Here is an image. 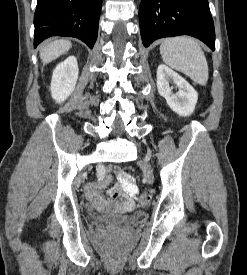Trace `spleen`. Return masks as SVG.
<instances>
[{
	"mask_svg": "<svg viewBox=\"0 0 247 275\" xmlns=\"http://www.w3.org/2000/svg\"><path fill=\"white\" fill-rule=\"evenodd\" d=\"M160 54L168 66L184 73L197 84L206 85L208 64L197 41L185 36L165 39L160 45Z\"/></svg>",
	"mask_w": 247,
	"mask_h": 275,
	"instance_id": "obj_1",
	"label": "spleen"
}]
</instances>
